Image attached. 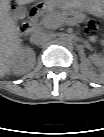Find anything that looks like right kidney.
<instances>
[{
  "instance_id": "right-kidney-1",
  "label": "right kidney",
  "mask_w": 104,
  "mask_h": 137,
  "mask_svg": "<svg viewBox=\"0 0 104 137\" xmlns=\"http://www.w3.org/2000/svg\"><path fill=\"white\" fill-rule=\"evenodd\" d=\"M35 61V53L30 48H22L11 60L10 68L16 74L25 73L26 69L32 67ZM29 66V67H28Z\"/></svg>"
}]
</instances>
